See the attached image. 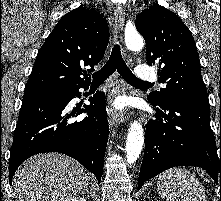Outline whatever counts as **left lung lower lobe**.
<instances>
[{"mask_svg": "<svg viewBox=\"0 0 221 201\" xmlns=\"http://www.w3.org/2000/svg\"><path fill=\"white\" fill-rule=\"evenodd\" d=\"M148 99L157 107V115L146 126L138 189L164 170L183 165L201 167L221 184V146L219 157L210 127L209 103L159 104L150 96Z\"/></svg>", "mask_w": 221, "mask_h": 201, "instance_id": "left-lung-lower-lobe-1", "label": "left lung lower lobe"}]
</instances>
